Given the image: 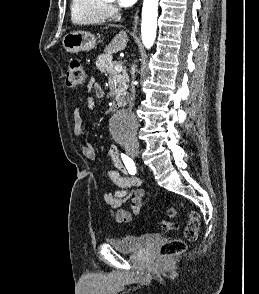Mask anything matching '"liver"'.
<instances>
[{
  "label": "liver",
  "mask_w": 259,
  "mask_h": 294,
  "mask_svg": "<svg viewBox=\"0 0 259 294\" xmlns=\"http://www.w3.org/2000/svg\"><path fill=\"white\" fill-rule=\"evenodd\" d=\"M128 42V36L125 31H120L105 48V52L110 54L117 53L126 48Z\"/></svg>",
  "instance_id": "obj_1"
}]
</instances>
